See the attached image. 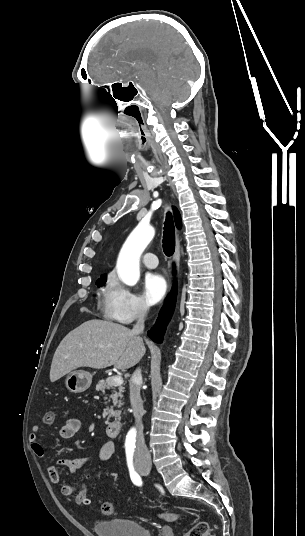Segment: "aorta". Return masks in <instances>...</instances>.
<instances>
[{"instance_id": "762f6f07", "label": "aorta", "mask_w": 305, "mask_h": 536, "mask_svg": "<svg viewBox=\"0 0 305 536\" xmlns=\"http://www.w3.org/2000/svg\"><path fill=\"white\" fill-rule=\"evenodd\" d=\"M152 226L139 224L125 241L117 260V274L123 283L134 286L140 278V256L152 241Z\"/></svg>"}]
</instances>
